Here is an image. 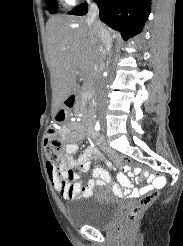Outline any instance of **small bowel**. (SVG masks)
I'll return each instance as SVG.
<instances>
[{
    "label": "small bowel",
    "instance_id": "small-bowel-1",
    "mask_svg": "<svg viewBox=\"0 0 183 246\" xmlns=\"http://www.w3.org/2000/svg\"><path fill=\"white\" fill-rule=\"evenodd\" d=\"M62 132L72 141L66 146V163L60 168L47 163V173L53 187L64 199L73 201L88 198L91 196L94 186H103L106 184H111L113 191L117 195H130L132 197L146 194L158 185H165V180H161L164 179V174H149V178H147L146 181L152 184L145 185L138 190H133L130 181L133 175L128 166L123 167L124 173L117 175L118 184L111 182L108 171L97 167L92 170V179L84 185L80 180L82 173L89 169L91 159L100 158L101 155L96 148L89 147L85 149L77 159H73L72 156L78 151L79 147L75 141L80 139L82 131H69L66 127H63ZM93 135L96 136L92 133V136ZM135 172L140 173L141 170L136 169Z\"/></svg>",
    "mask_w": 183,
    "mask_h": 246
}]
</instances>
